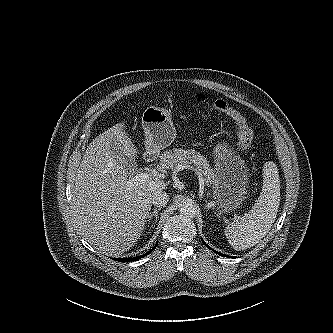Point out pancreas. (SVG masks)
Instances as JSON below:
<instances>
[{
    "mask_svg": "<svg viewBox=\"0 0 333 333\" xmlns=\"http://www.w3.org/2000/svg\"><path fill=\"white\" fill-rule=\"evenodd\" d=\"M160 165L162 169H173L179 165L186 168H193L205 176V183L211 184L215 176V171L210 168L207 159L194 150H184L173 148L160 155Z\"/></svg>",
    "mask_w": 333,
    "mask_h": 333,
    "instance_id": "cf45deb5",
    "label": "pancreas"
}]
</instances>
